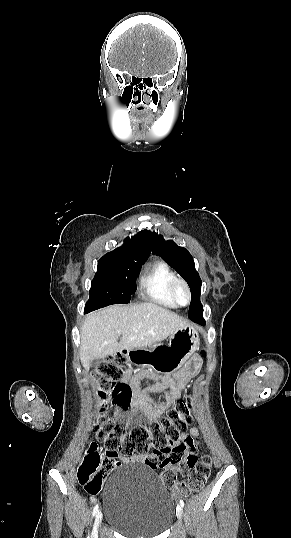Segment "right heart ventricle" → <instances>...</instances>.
I'll list each match as a JSON object with an SVG mask.
<instances>
[{
	"mask_svg": "<svg viewBox=\"0 0 291 538\" xmlns=\"http://www.w3.org/2000/svg\"><path fill=\"white\" fill-rule=\"evenodd\" d=\"M175 278V273L165 261L155 260L144 267L140 286L151 301L166 307H175L170 293V286Z\"/></svg>",
	"mask_w": 291,
	"mask_h": 538,
	"instance_id": "right-heart-ventricle-1",
	"label": "right heart ventricle"
}]
</instances>
